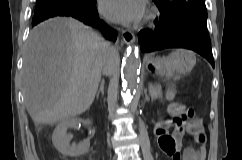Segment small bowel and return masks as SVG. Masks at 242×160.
<instances>
[{
  "label": "small bowel",
  "mask_w": 242,
  "mask_h": 160,
  "mask_svg": "<svg viewBox=\"0 0 242 160\" xmlns=\"http://www.w3.org/2000/svg\"><path fill=\"white\" fill-rule=\"evenodd\" d=\"M192 112L183 113L175 121H170L167 126L172 127L169 133L165 128L161 131L156 129V137L161 152L171 160H204L206 155V137L201 123L192 118ZM190 134L197 147H186L182 150L184 135Z\"/></svg>",
  "instance_id": "c3829d8e"
}]
</instances>
